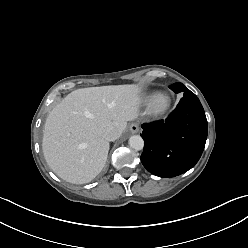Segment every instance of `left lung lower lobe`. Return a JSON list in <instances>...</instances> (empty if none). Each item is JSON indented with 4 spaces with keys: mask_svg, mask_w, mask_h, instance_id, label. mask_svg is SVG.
<instances>
[{
    "mask_svg": "<svg viewBox=\"0 0 248 248\" xmlns=\"http://www.w3.org/2000/svg\"><path fill=\"white\" fill-rule=\"evenodd\" d=\"M143 166L159 177H175L191 169L205 147L208 124L204 109L191 91L185 92L165 121L143 124Z\"/></svg>",
    "mask_w": 248,
    "mask_h": 248,
    "instance_id": "obj_1",
    "label": "left lung lower lobe"
}]
</instances>
